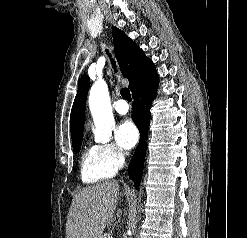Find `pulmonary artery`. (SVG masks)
<instances>
[{
    "mask_svg": "<svg viewBox=\"0 0 247 238\" xmlns=\"http://www.w3.org/2000/svg\"><path fill=\"white\" fill-rule=\"evenodd\" d=\"M114 110L118 114L124 115L129 111V105L125 100L120 99L115 103Z\"/></svg>",
    "mask_w": 247,
    "mask_h": 238,
    "instance_id": "1",
    "label": "pulmonary artery"
}]
</instances>
